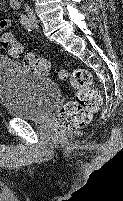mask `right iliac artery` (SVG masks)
Here are the masks:
<instances>
[{
	"instance_id": "1",
	"label": "right iliac artery",
	"mask_w": 123,
	"mask_h": 201,
	"mask_svg": "<svg viewBox=\"0 0 123 201\" xmlns=\"http://www.w3.org/2000/svg\"><path fill=\"white\" fill-rule=\"evenodd\" d=\"M10 6L13 9H19L20 8V2L18 0H10Z\"/></svg>"
}]
</instances>
